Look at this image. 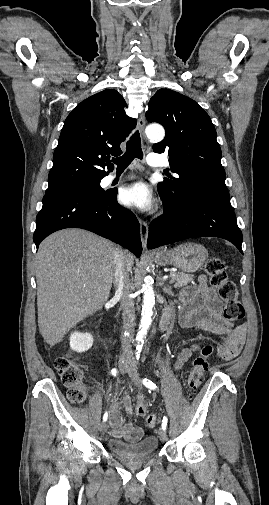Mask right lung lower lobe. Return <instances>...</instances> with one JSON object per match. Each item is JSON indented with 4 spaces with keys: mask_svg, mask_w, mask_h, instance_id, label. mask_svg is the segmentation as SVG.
<instances>
[{
    "mask_svg": "<svg viewBox=\"0 0 269 505\" xmlns=\"http://www.w3.org/2000/svg\"><path fill=\"white\" fill-rule=\"evenodd\" d=\"M116 197L117 192H109L103 197L77 191L45 194L33 235L36 247L55 231L82 228L110 239L140 257L139 222L131 211L117 203Z\"/></svg>",
    "mask_w": 269,
    "mask_h": 505,
    "instance_id": "98d812e1",
    "label": "right lung lower lobe"
}]
</instances>
